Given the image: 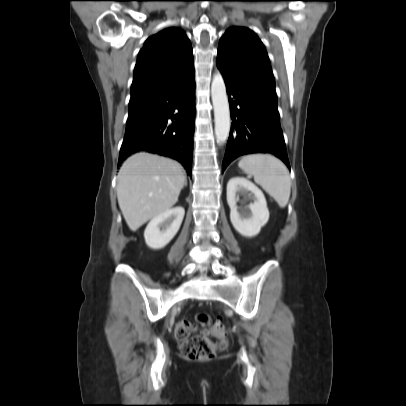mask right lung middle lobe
Wrapping results in <instances>:
<instances>
[{"mask_svg":"<svg viewBox=\"0 0 406 406\" xmlns=\"http://www.w3.org/2000/svg\"><path fill=\"white\" fill-rule=\"evenodd\" d=\"M140 117V113L135 106H129V116L127 124L133 123Z\"/></svg>","mask_w":406,"mask_h":406,"instance_id":"right-lung-middle-lobe-1","label":"right lung middle lobe"}]
</instances>
